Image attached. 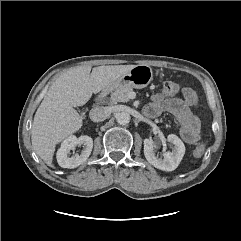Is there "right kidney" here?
<instances>
[{"instance_id": "right-kidney-1", "label": "right kidney", "mask_w": 241, "mask_h": 241, "mask_svg": "<svg viewBox=\"0 0 241 241\" xmlns=\"http://www.w3.org/2000/svg\"><path fill=\"white\" fill-rule=\"evenodd\" d=\"M81 145L84 148L80 155L70 157V150ZM92 148L93 140L91 137L83 135L77 138L74 135H70L62 142L61 147L57 151V162L63 168H76L88 159Z\"/></svg>"}]
</instances>
